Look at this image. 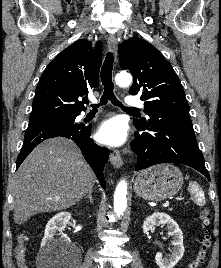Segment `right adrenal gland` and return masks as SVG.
<instances>
[{"mask_svg": "<svg viewBox=\"0 0 221 268\" xmlns=\"http://www.w3.org/2000/svg\"><path fill=\"white\" fill-rule=\"evenodd\" d=\"M84 199H89L90 200V203L93 204L92 191H90L88 193V195L86 197H84Z\"/></svg>", "mask_w": 221, "mask_h": 268, "instance_id": "obj_1", "label": "right adrenal gland"}]
</instances>
